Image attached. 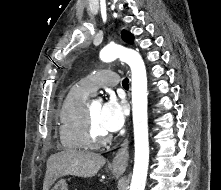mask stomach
<instances>
[{
  "label": "stomach",
  "mask_w": 221,
  "mask_h": 190,
  "mask_svg": "<svg viewBox=\"0 0 221 190\" xmlns=\"http://www.w3.org/2000/svg\"><path fill=\"white\" fill-rule=\"evenodd\" d=\"M112 172L116 176H119L121 174V171L117 169H113ZM51 190H68V185L65 180L61 179L53 186Z\"/></svg>",
  "instance_id": "stomach-1"
}]
</instances>
